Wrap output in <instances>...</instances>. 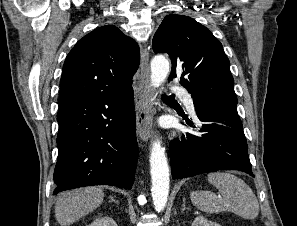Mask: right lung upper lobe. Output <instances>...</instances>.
Listing matches in <instances>:
<instances>
[{
    "instance_id": "right-lung-upper-lobe-1",
    "label": "right lung upper lobe",
    "mask_w": 297,
    "mask_h": 226,
    "mask_svg": "<svg viewBox=\"0 0 297 226\" xmlns=\"http://www.w3.org/2000/svg\"><path fill=\"white\" fill-rule=\"evenodd\" d=\"M139 62V47L134 40L113 25L96 28L80 39L66 57L59 104L132 89Z\"/></svg>"
}]
</instances>
